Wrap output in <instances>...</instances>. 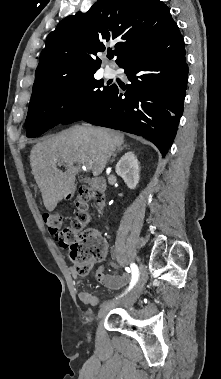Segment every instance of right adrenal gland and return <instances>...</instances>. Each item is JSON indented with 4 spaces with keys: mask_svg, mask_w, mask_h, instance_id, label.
<instances>
[{
    "mask_svg": "<svg viewBox=\"0 0 221 379\" xmlns=\"http://www.w3.org/2000/svg\"><path fill=\"white\" fill-rule=\"evenodd\" d=\"M126 146L127 145H123V146L118 147L117 151L113 154L112 159L110 160V162H113L115 160V157L117 156V154L119 152H121Z\"/></svg>",
    "mask_w": 221,
    "mask_h": 379,
    "instance_id": "2a0ac1e0",
    "label": "right adrenal gland"
}]
</instances>
